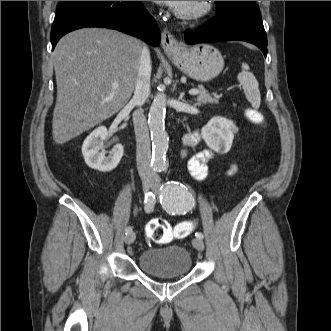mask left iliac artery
I'll use <instances>...</instances> for the list:
<instances>
[{
    "label": "left iliac artery",
    "instance_id": "44dca946",
    "mask_svg": "<svg viewBox=\"0 0 331 331\" xmlns=\"http://www.w3.org/2000/svg\"><path fill=\"white\" fill-rule=\"evenodd\" d=\"M162 171L159 169V172ZM160 203L171 215H183L189 212L194 206L192 194L188 188L179 182H167L161 186ZM197 238L203 239V234L197 232Z\"/></svg>",
    "mask_w": 331,
    "mask_h": 331
}]
</instances>
